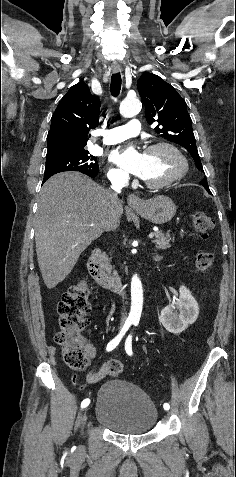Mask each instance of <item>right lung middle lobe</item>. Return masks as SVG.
<instances>
[{
  "instance_id": "obj_1",
  "label": "right lung middle lobe",
  "mask_w": 236,
  "mask_h": 477,
  "mask_svg": "<svg viewBox=\"0 0 236 477\" xmlns=\"http://www.w3.org/2000/svg\"><path fill=\"white\" fill-rule=\"evenodd\" d=\"M98 170L97 158L83 148L76 153L46 161L44 178L64 171H78L90 177H95Z\"/></svg>"
}]
</instances>
